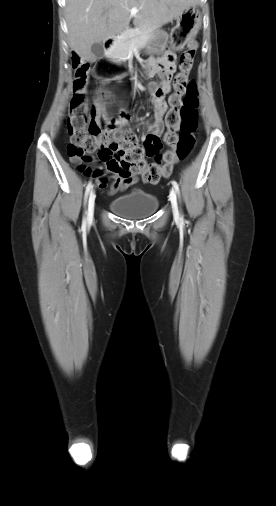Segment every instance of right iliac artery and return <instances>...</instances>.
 Listing matches in <instances>:
<instances>
[{"label": "right iliac artery", "mask_w": 276, "mask_h": 506, "mask_svg": "<svg viewBox=\"0 0 276 506\" xmlns=\"http://www.w3.org/2000/svg\"><path fill=\"white\" fill-rule=\"evenodd\" d=\"M91 188H92V182H91V181H89V183L87 184V187H86V191H85V199H87L88 194H89V192H90ZM85 223H86V219H85V217H84V219H83V224H85Z\"/></svg>", "instance_id": "obj_1"}]
</instances>
